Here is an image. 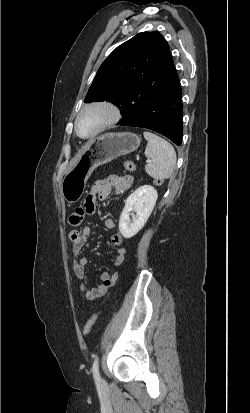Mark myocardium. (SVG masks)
<instances>
[{
    "label": "myocardium",
    "instance_id": "f54148a6",
    "mask_svg": "<svg viewBox=\"0 0 250 413\" xmlns=\"http://www.w3.org/2000/svg\"><path fill=\"white\" fill-rule=\"evenodd\" d=\"M90 110H101L106 113V118L104 121L97 127V129L92 132L89 135L83 136L79 132L78 124L79 120L82 117V115ZM122 118V112L121 109L117 104L110 100H97L90 102L86 104L85 106L82 107V109L78 112L75 121H74V129L77 134V136L81 139H91L102 132L112 128L115 126Z\"/></svg>",
    "mask_w": 250,
    "mask_h": 413
}]
</instances>
